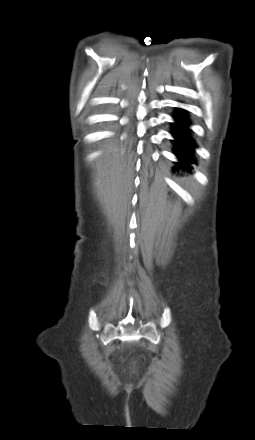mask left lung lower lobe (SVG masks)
Segmentation results:
<instances>
[{"label":"left lung lower lobe","instance_id":"obj_1","mask_svg":"<svg viewBox=\"0 0 255 440\" xmlns=\"http://www.w3.org/2000/svg\"><path fill=\"white\" fill-rule=\"evenodd\" d=\"M174 122L171 123V134L173 136V153L177 156L178 163H175L177 167L187 166L190 164H196L194 157L195 148L197 147L190 129L191 121L187 112L184 109L177 108L173 114ZM190 169V168H189Z\"/></svg>","mask_w":255,"mask_h":440}]
</instances>
